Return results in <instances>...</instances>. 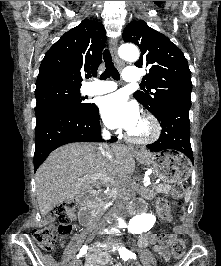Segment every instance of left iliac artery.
<instances>
[{"mask_svg":"<svg viewBox=\"0 0 221 266\" xmlns=\"http://www.w3.org/2000/svg\"><path fill=\"white\" fill-rule=\"evenodd\" d=\"M119 254L123 260H128L129 258L136 259V254L132 253L131 251H129L125 247L119 248Z\"/></svg>","mask_w":221,"mask_h":266,"instance_id":"44dca946","label":"left iliac artery"}]
</instances>
